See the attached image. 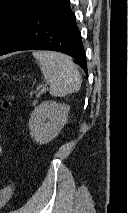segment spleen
<instances>
[{"label":"spleen","instance_id":"spleen-1","mask_svg":"<svg viewBox=\"0 0 128 213\" xmlns=\"http://www.w3.org/2000/svg\"><path fill=\"white\" fill-rule=\"evenodd\" d=\"M32 55L40 63L52 96L62 97L80 90L81 75L69 56L52 51H33Z\"/></svg>","mask_w":128,"mask_h":213}]
</instances>
